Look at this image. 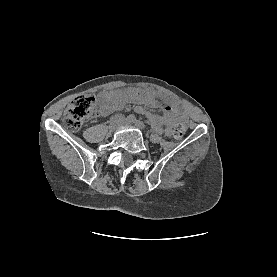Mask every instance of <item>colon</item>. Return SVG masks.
<instances>
[{"label":"colon","mask_w":277,"mask_h":277,"mask_svg":"<svg viewBox=\"0 0 277 277\" xmlns=\"http://www.w3.org/2000/svg\"><path fill=\"white\" fill-rule=\"evenodd\" d=\"M97 115L96 99L92 95H80L74 98L68 105L63 122L65 126L72 130H79L87 121ZM187 131L185 120H177L173 127V137L181 139Z\"/></svg>","instance_id":"obj_1"}]
</instances>
